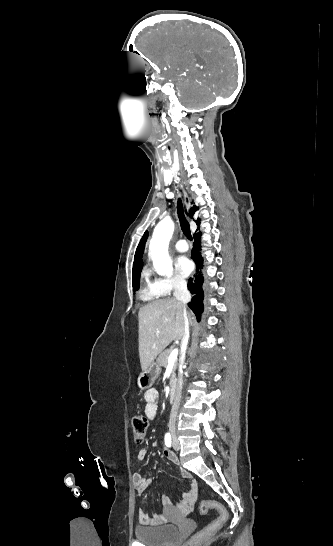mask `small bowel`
<instances>
[{
  "mask_svg": "<svg viewBox=\"0 0 333 546\" xmlns=\"http://www.w3.org/2000/svg\"><path fill=\"white\" fill-rule=\"evenodd\" d=\"M158 398H159V392L155 388L148 389L144 393V400L146 402L145 405V413L147 417L152 420L157 416L158 413ZM157 446H161V444L157 443ZM147 455L146 449H140L137 453V459L139 461H143ZM163 455L167 459L168 462L174 465H178V460L176 456L171 453L170 451L163 449ZM181 474L185 478L190 477V473L182 469ZM133 482L134 487L139 496H142L145 491L149 488L151 484V479L149 477L143 476L140 473H134L133 474ZM197 484L193 482L191 486L183 492L181 499L174 504L171 499L163 495L161 497V503L163 506V513L155 514L153 516H149L142 510H139V521L142 525L145 526H158L165 524L168 519V514L174 510L179 512L181 515L187 516L190 513L194 511L195 502L197 499Z\"/></svg>",
  "mask_w": 333,
  "mask_h": 546,
  "instance_id": "1",
  "label": "small bowel"
}]
</instances>
